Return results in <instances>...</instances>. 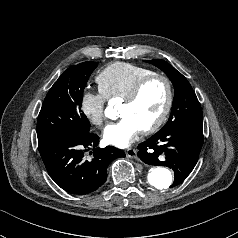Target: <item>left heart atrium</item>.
Segmentation results:
<instances>
[{"instance_id":"obj_1","label":"left heart atrium","mask_w":238,"mask_h":238,"mask_svg":"<svg viewBox=\"0 0 238 238\" xmlns=\"http://www.w3.org/2000/svg\"><path fill=\"white\" fill-rule=\"evenodd\" d=\"M141 131L139 125L129 116L108 125L103 133L104 140L117 147H127Z\"/></svg>"}]
</instances>
